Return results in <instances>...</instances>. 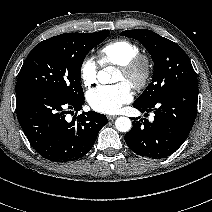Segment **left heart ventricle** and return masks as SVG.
<instances>
[{"instance_id":"b2bd125f","label":"left heart ventricle","mask_w":212,"mask_h":212,"mask_svg":"<svg viewBox=\"0 0 212 212\" xmlns=\"http://www.w3.org/2000/svg\"><path fill=\"white\" fill-rule=\"evenodd\" d=\"M115 81L116 82H122V81L128 82L125 75L120 70H118V72L116 74Z\"/></svg>"}]
</instances>
